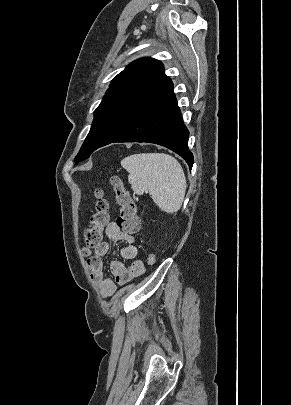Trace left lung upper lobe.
Listing matches in <instances>:
<instances>
[{
  "label": "left lung upper lobe",
  "mask_w": 291,
  "mask_h": 405,
  "mask_svg": "<svg viewBox=\"0 0 291 405\" xmlns=\"http://www.w3.org/2000/svg\"><path fill=\"white\" fill-rule=\"evenodd\" d=\"M163 76V64L153 58H140L120 72L94 112L90 132L75 157V163L117 139L129 125L143 97Z\"/></svg>",
  "instance_id": "5c2ea615"
}]
</instances>
